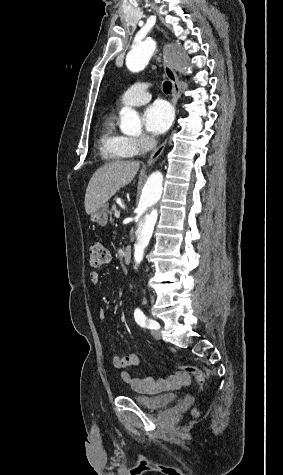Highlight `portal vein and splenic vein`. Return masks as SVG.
I'll use <instances>...</instances> for the list:
<instances>
[{
	"mask_svg": "<svg viewBox=\"0 0 283 475\" xmlns=\"http://www.w3.org/2000/svg\"><path fill=\"white\" fill-rule=\"evenodd\" d=\"M115 216H116V218H120L119 212H115Z\"/></svg>",
	"mask_w": 283,
	"mask_h": 475,
	"instance_id": "18ae733b",
	"label": "portal vein and splenic vein"
}]
</instances>
